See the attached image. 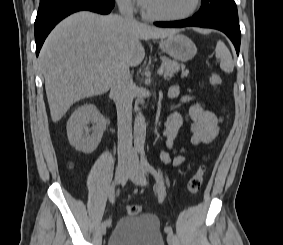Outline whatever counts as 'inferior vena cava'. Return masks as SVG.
Returning <instances> with one entry per match:
<instances>
[{"label": "inferior vena cava", "instance_id": "602c4592", "mask_svg": "<svg viewBox=\"0 0 283 245\" xmlns=\"http://www.w3.org/2000/svg\"><path fill=\"white\" fill-rule=\"evenodd\" d=\"M118 7L121 15L129 21H134L133 11L127 0H120ZM117 109L118 124V159L135 158L132 150V101L134 83L129 68L118 72L110 91Z\"/></svg>", "mask_w": 283, "mask_h": 245}]
</instances>
